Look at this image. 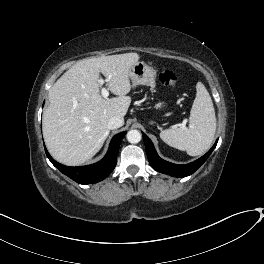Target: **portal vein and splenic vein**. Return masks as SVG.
Here are the masks:
<instances>
[{
    "label": "portal vein and splenic vein",
    "instance_id": "obj_1",
    "mask_svg": "<svg viewBox=\"0 0 264 264\" xmlns=\"http://www.w3.org/2000/svg\"><path fill=\"white\" fill-rule=\"evenodd\" d=\"M104 81H107V80H103V79H100V80H99V82H100L101 84H103ZM101 94H102V96H103L104 98H107V97L109 96V92H108V90H107L106 88H102V90H101Z\"/></svg>",
    "mask_w": 264,
    "mask_h": 264
}]
</instances>
